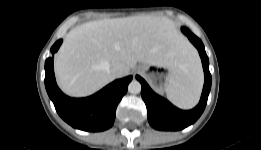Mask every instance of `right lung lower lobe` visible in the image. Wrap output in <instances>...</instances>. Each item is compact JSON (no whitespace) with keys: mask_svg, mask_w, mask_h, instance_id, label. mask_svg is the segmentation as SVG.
<instances>
[{"mask_svg":"<svg viewBox=\"0 0 261 150\" xmlns=\"http://www.w3.org/2000/svg\"><path fill=\"white\" fill-rule=\"evenodd\" d=\"M61 43L62 40H58L51 52L55 53ZM131 80L132 76L116 80L87 98H70L56 84L53 59L48 58L45 61V87L57 113L72 127L84 131H103L113 125L117 105L127 92Z\"/></svg>","mask_w":261,"mask_h":150,"instance_id":"98d812e1","label":"right lung lower lobe"}]
</instances>
